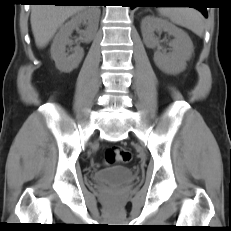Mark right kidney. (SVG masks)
<instances>
[{"instance_id":"right-kidney-1","label":"right kidney","mask_w":231,"mask_h":231,"mask_svg":"<svg viewBox=\"0 0 231 231\" xmlns=\"http://www.w3.org/2000/svg\"><path fill=\"white\" fill-rule=\"evenodd\" d=\"M99 16L100 11L97 8H87L61 26L51 46V57L60 71L71 72L79 65L84 56V51L80 46H76L72 54L66 52V46L72 44L69 39L72 31L83 23L86 25V29L82 32L81 39L85 42L91 41L98 29Z\"/></svg>"}]
</instances>
